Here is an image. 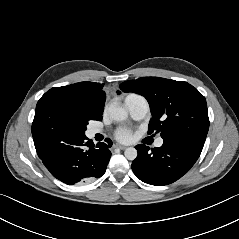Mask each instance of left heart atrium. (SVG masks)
<instances>
[{
    "label": "left heart atrium",
    "mask_w": 239,
    "mask_h": 239,
    "mask_svg": "<svg viewBox=\"0 0 239 239\" xmlns=\"http://www.w3.org/2000/svg\"><path fill=\"white\" fill-rule=\"evenodd\" d=\"M115 137L121 142H128L132 139V131L129 128L121 127L116 130Z\"/></svg>",
    "instance_id": "left-heart-atrium-1"
}]
</instances>
